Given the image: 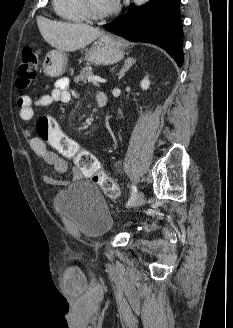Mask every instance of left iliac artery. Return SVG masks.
Wrapping results in <instances>:
<instances>
[{"label": "left iliac artery", "instance_id": "left-iliac-artery-1", "mask_svg": "<svg viewBox=\"0 0 233 328\" xmlns=\"http://www.w3.org/2000/svg\"><path fill=\"white\" fill-rule=\"evenodd\" d=\"M136 194H137V188H136L135 185H132V188H131V196H130V199L128 200L127 205H130L133 202Z\"/></svg>", "mask_w": 233, "mask_h": 328}]
</instances>
